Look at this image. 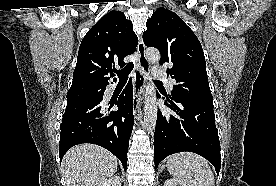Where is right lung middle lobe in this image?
Segmentation results:
<instances>
[{
	"label": "right lung middle lobe",
	"instance_id": "dd1d6c3e",
	"mask_svg": "<svg viewBox=\"0 0 276 186\" xmlns=\"http://www.w3.org/2000/svg\"><path fill=\"white\" fill-rule=\"evenodd\" d=\"M105 89L103 86H81L70 89L67 93V106L102 100Z\"/></svg>",
	"mask_w": 276,
	"mask_h": 186
}]
</instances>
